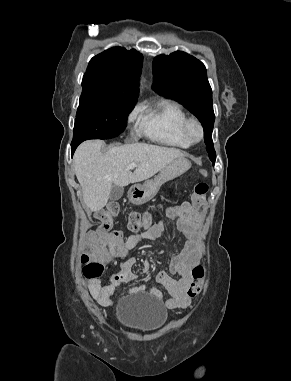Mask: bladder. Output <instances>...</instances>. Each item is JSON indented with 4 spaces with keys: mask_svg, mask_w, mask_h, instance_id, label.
<instances>
[{
    "mask_svg": "<svg viewBox=\"0 0 291 381\" xmlns=\"http://www.w3.org/2000/svg\"><path fill=\"white\" fill-rule=\"evenodd\" d=\"M168 312L161 302L148 294L136 293L125 296L116 308V319L125 329L150 333L161 328Z\"/></svg>",
    "mask_w": 291,
    "mask_h": 381,
    "instance_id": "bladder-1",
    "label": "bladder"
}]
</instances>
